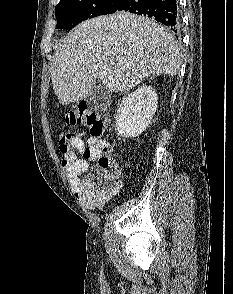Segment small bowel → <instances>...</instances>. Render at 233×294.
I'll return each instance as SVG.
<instances>
[{
	"label": "small bowel",
	"mask_w": 233,
	"mask_h": 294,
	"mask_svg": "<svg viewBox=\"0 0 233 294\" xmlns=\"http://www.w3.org/2000/svg\"><path fill=\"white\" fill-rule=\"evenodd\" d=\"M82 135L72 134L70 139V151L66 158H62V166L66 171L67 178L71 183H76L80 175L86 173L89 168V161L93 160L99 148L107 144L105 139H94L89 137L84 142ZM121 183L113 181L105 189H89L85 185V180L81 184L79 192L83 203L91 209L101 207L112 199L120 190Z\"/></svg>",
	"instance_id": "1"
}]
</instances>
